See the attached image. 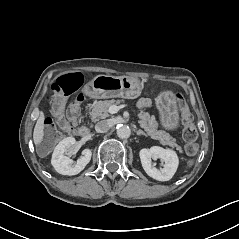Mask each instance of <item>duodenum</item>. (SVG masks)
Instances as JSON below:
<instances>
[{"label": "duodenum", "instance_id": "1", "mask_svg": "<svg viewBox=\"0 0 239 239\" xmlns=\"http://www.w3.org/2000/svg\"><path fill=\"white\" fill-rule=\"evenodd\" d=\"M89 133V129L86 126H81L78 129V135L79 136H86Z\"/></svg>", "mask_w": 239, "mask_h": 239}]
</instances>
